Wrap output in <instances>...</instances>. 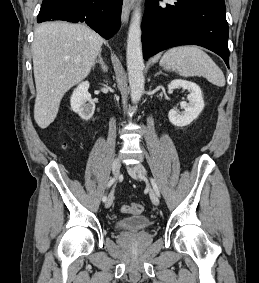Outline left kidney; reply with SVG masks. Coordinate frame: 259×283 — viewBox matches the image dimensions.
<instances>
[{"instance_id":"left-kidney-1","label":"left kidney","mask_w":259,"mask_h":283,"mask_svg":"<svg viewBox=\"0 0 259 283\" xmlns=\"http://www.w3.org/2000/svg\"><path fill=\"white\" fill-rule=\"evenodd\" d=\"M180 88L188 90L189 95L187 96V99L189 103H186L185 101L180 103L181 108L184 109L183 112H179L175 109H171L169 111V121L177 127L189 125L199 116L204 108L202 92L197 84L179 79L171 81L168 85L169 90Z\"/></svg>"}]
</instances>
